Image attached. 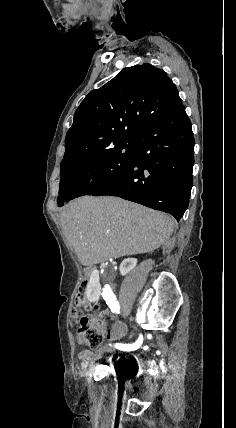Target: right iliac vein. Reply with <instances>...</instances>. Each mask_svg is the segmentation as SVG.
I'll return each instance as SVG.
<instances>
[{"instance_id":"obj_1","label":"right iliac vein","mask_w":236,"mask_h":428,"mask_svg":"<svg viewBox=\"0 0 236 428\" xmlns=\"http://www.w3.org/2000/svg\"><path fill=\"white\" fill-rule=\"evenodd\" d=\"M111 346H104L102 349L104 350V351H106L108 354L111 352V351H114V346H112L113 344L111 343L110 344Z\"/></svg>"}]
</instances>
